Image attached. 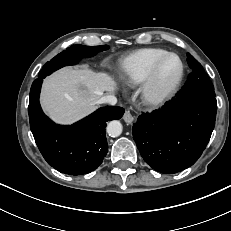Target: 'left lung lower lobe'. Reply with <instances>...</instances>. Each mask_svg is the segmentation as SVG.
<instances>
[{
    "instance_id": "left-lung-lower-lobe-1",
    "label": "left lung lower lobe",
    "mask_w": 231,
    "mask_h": 231,
    "mask_svg": "<svg viewBox=\"0 0 231 231\" xmlns=\"http://www.w3.org/2000/svg\"><path fill=\"white\" fill-rule=\"evenodd\" d=\"M216 110L215 96L177 93L161 109L142 113L132 134L145 162L166 174L193 165L210 140Z\"/></svg>"
}]
</instances>
